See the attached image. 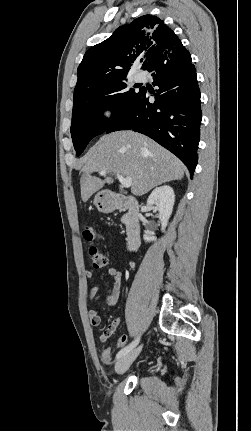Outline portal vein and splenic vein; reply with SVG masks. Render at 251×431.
Masks as SVG:
<instances>
[{
	"label": "portal vein and splenic vein",
	"instance_id": "1",
	"mask_svg": "<svg viewBox=\"0 0 251 431\" xmlns=\"http://www.w3.org/2000/svg\"><path fill=\"white\" fill-rule=\"evenodd\" d=\"M101 175H105L106 174V170H101L100 171ZM117 179L119 180V182L121 183V185L124 188H129L132 185V179L131 177H123L122 175H120L119 173L116 174Z\"/></svg>",
	"mask_w": 251,
	"mask_h": 431
}]
</instances>
